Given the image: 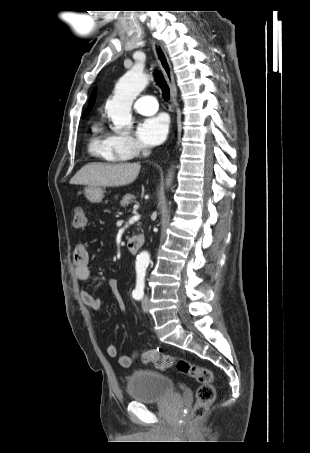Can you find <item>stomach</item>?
<instances>
[{"label":"stomach","mask_w":310,"mask_h":453,"mask_svg":"<svg viewBox=\"0 0 310 453\" xmlns=\"http://www.w3.org/2000/svg\"><path fill=\"white\" fill-rule=\"evenodd\" d=\"M85 197L91 203H99L103 198V190L100 187H87L85 189Z\"/></svg>","instance_id":"stomach-1"}]
</instances>
